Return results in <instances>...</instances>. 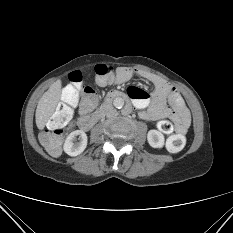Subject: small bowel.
Instances as JSON below:
<instances>
[{"label":"small bowel","mask_w":233,"mask_h":233,"mask_svg":"<svg viewBox=\"0 0 233 233\" xmlns=\"http://www.w3.org/2000/svg\"><path fill=\"white\" fill-rule=\"evenodd\" d=\"M134 75L148 80L155 87L151 95L138 87L129 88V96L139 109L140 117L156 121L157 128L165 134L172 132L184 134L189 128L191 118L179 91L155 74L135 72L126 67L117 69L114 82L117 84L127 83ZM95 104V96L83 98L79 108L81 118L91 112Z\"/></svg>","instance_id":"obj_1"}]
</instances>
